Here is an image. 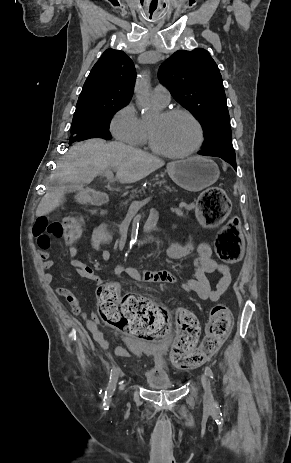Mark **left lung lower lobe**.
Here are the masks:
<instances>
[{
  "mask_svg": "<svg viewBox=\"0 0 291 463\" xmlns=\"http://www.w3.org/2000/svg\"><path fill=\"white\" fill-rule=\"evenodd\" d=\"M200 155H204L202 153L199 152ZM207 156V155H205ZM216 157H220L222 158L224 161L228 162L229 164H231L234 169L236 170V159L235 158H229V157H223V156H216Z\"/></svg>",
  "mask_w": 291,
  "mask_h": 463,
  "instance_id": "1",
  "label": "left lung lower lobe"
}]
</instances>
